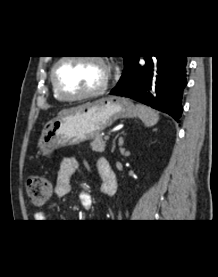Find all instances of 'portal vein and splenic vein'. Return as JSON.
<instances>
[{"label":"portal vein and splenic vein","mask_w":218,"mask_h":277,"mask_svg":"<svg viewBox=\"0 0 218 277\" xmlns=\"http://www.w3.org/2000/svg\"><path fill=\"white\" fill-rule=\"evenodd\" d=\"M109 139H110L109 135H106V136L104 137V140H105V141H108Z\"/></svg>","instance_id":"portal-vein-and-splenic-vein-1"}]
</instances>
